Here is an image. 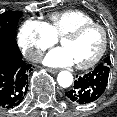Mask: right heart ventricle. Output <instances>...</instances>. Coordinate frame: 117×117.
<instances>
[{"label": "right heart ventricle", "instance_id": "e07e8e85", "mask_svg": "<svg viewBox=\"0 0 117 117\" xmlns=\"http://www.w3.org/2000/svg\"><path fill=\"white\" fill-rule=\"evenodd\" d=\"M93 22V18L87 13L70 9L49 14L46 24L51 33L57 38L80 25Z\"/></svg>", "mask_w": 117, "mask_h": 117}]
</instances>
